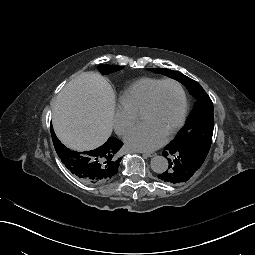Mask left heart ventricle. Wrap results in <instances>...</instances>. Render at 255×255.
Returning a JSON list of instances; mask_svg holds the SVG:
<instances>
[{
	"label": "left heart ventricle",
	"mask_w": 255,
	"mask_h": 255,
	"mask_svg": "<svg viewBox=\"0 0 255 255\" xmlns=\"http://www.w3.org/2000/svg\"><path fill=\"white\" fill-rule=\"evenodd\" d=\"M181 105L178 87L170 83L164 84L157 91L153 106L142 114L141 120L165 139L178 121Z\"/></svg>",
	"instance_id": "obj_1"
}]
</instances>
